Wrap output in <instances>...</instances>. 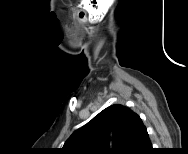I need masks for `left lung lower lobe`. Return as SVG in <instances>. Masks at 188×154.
<instances>
[{"label": "left lung lower lobe", "instance_id": "obj_1", "mask_svg": "<svg viewBox=\"0 0 188 154\" xmlns=\"http://www.w3.org/2000/svg\"><path fill=\"white\" fill-rule=\"evenodd\" d=\"M151 150V142L147 133V129L141 118L135 114L133 119V129L128 144L126 154H149Z\"/></svg>", "mask_w": 188, "mask_h": 154}]
</instances>
